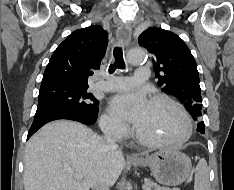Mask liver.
<instances>
[{
	"label": "liver",
	"mask_w": 234,
	"mask_h": 190,
	"mask_svg": "<svg viewBox=\"0 0 234 190\" xmlns=\"http://www.w3.org/2000/svg\"><path fill=\"white\" fill-rule=\"evenodd\" d=\"M25 190H89L99 181L113 185L125 167L121 151L112 150L90 128L73 121L46 124L25 148ZM81 173L82 180L69 171Z\"/></svg>",
	"instance_id": "obj_1"
}]
</instances>
